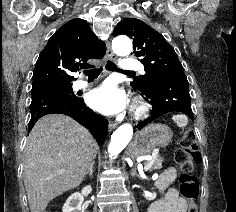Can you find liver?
<instances>
[{
	"mask_svg": "<svg viewBox=\"0 0 236 212\" xmlns=\"http://www.w3.org/2000/svg\"><path fill=\"white\" fill-rule=\"evenodd\" d=\"M97 150L89 131L71 117L51 114L39 119L29 134L24 154L30 211L44 212L52 199L79 186Z\"/></svg>",
	"mask_w": 236,
	"mask_h": 212,
	"instance_id": "obj_1",
	"label": "liver"
}]
</instances>
